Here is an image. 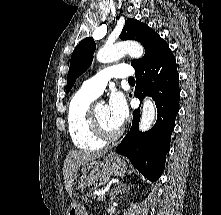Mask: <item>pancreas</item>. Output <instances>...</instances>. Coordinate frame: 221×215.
Listing matches in <instances>:
<instances>
[{
    "label": "pancreas",
    "instance_id": "obj_1",
    "mask_svg": "<svg viewBox=\"0 0 221 215\" xmlns=\"http://www.w3.org/2000/svg\"><path fill=\"white\" fill-rule=\"evenodd\" d=\"M92 191H94V188H89V191L82 197V201L89 203L91 199H95L97 196L92 194Z\"/></svg>",
    "mask_w": 221,
    "mask_h": 215
}]
</instances>
